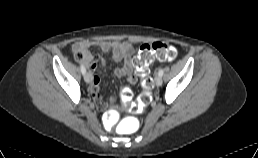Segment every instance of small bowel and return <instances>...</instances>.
I'll return each mask as SVG.
<instances>
[{"instance_id": "small-bowel-1", "label": "small bowel", "mask_w": 258, "mask_h": 158, "mask_svg": "<svg viewBox=\"0 0 258 158\" xmlns=\"http://www.w3.org/2000/svg\"><path fill=\"white\" fill-rule=\"evenodd\" d=\"M97 46L101 51L105 53L111 54V59L114 61H119L125 58V63L122 67L116 68L114 70V74L117 77H126L130 84H135L137 82V75L134 72L132 56L135 52L134 46L129 42H121V41H90L83 40L77 42L73 46V50L83 51L86 55L84 63L90 69L91 74V87L90 94L97 104V106L101 109L107 108L111 105V101H105L99 91L98 87L101 83V74L97 72L98 61L94 59L93 55L88 51L89 48ZM102 64L106 61L102 60ZM126 88L123 87L121 90V94L124 92Z\"/></svg>"}]
</instances>
